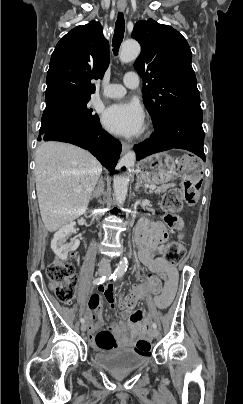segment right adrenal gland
<instances>
[{
  "label": "right adrenal gland",
  "instance_id": "1",
  "mask_svg": "<svg viewBox=\"0 0 243 404\" xmlns=\"http://www.w3.org/2000/svg\"><path fill=\"white\" fill-rule=\"evenodd\" d=\"M103 192H104V182L101 178V180H99L98 186H96L95 190H93L90 200H94V198H100Z\"/></svg>",
  "mask_w": 243,
  "mask_h": 404
}]
</instances>
